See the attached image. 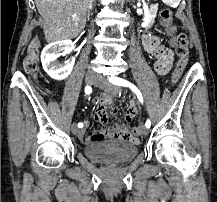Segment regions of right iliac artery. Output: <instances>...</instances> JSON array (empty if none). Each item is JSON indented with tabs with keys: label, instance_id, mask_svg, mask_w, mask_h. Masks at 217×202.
Here are the masks:
<instances>
[{
	"label": "right iliac artery",
	"instance_id": "right-iliac-artery-1",
	"mask_svg": "<svg viewBox=\"0 0 217 202\" xmlns=\"http://www.w3.org/2000/svg\"><path fill=\"white\" fill-rule=\"evenodd\" d=\"M92 92V88L90 86H86L85 87V93L86 94H90ZM78 127L82 128L83 127V123H78Z\"/></svg>",
	"mask_w": 217,
	"mask_h": 202
}]
</instances>
